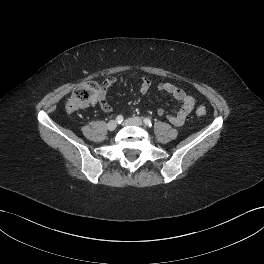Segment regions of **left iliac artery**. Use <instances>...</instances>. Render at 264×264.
<instances>
[{
    "mask_svg": "<svg viewBox=\"0 0 264 264\" xmlns=\"http://www.w3.org/2000/svg\"><path fill=\"white\" fill-rule=\"evenodd\" d=\"M143 121H144V123H145L146 126H148V127H151L152 126V122H151V120L149 118H144Z\"/></svg>",
    "mask_w": 264,
    "mask_h": 264,
    "instance_id": "obj_1",
    "label": "left iliac artery"
}]
</instances>
